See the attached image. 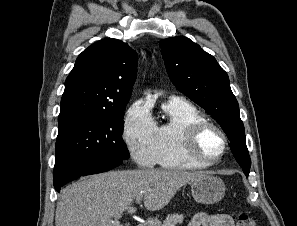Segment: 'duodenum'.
I'll list each match as a JSON object with an SVG mask.
<instances>
[{"label":"duodenum","instance_id":"duodenum-1","mask_svg":"<svg viewBox=\"0 0 297 226\" xmlns=\"http://www.w3.org/2000/svg\"><path fill=\"white\" fill-rule=\"evenodd\" d=\"M137 226H150V224L146 221L139 223Z\"/></svg>","mask_w":297,"mask_h":226}]
</instances>
